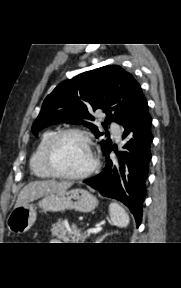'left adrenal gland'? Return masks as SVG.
<instances>
[{"mask_svg":"<svg viewBox=\"0 0 181 288\" xmlns=\"http://www.w3.org/2000/svg\"><path fill=\"white\" fill-rule=\"evenodd\" d=\"M111 233H106L105 235L97 238L96 243H102L103 239H105V237H107L108 235H110Z\"/></svg>","mask_w":181,"mask_h":288,"instance_id":"obj_1","label":"left adrenal gland"}]
</instances>
